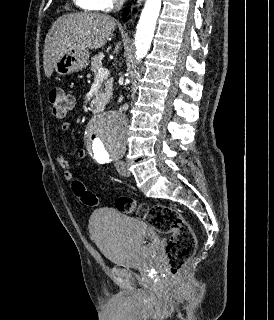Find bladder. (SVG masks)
Returning a JSON list of instances; mask_svg holds the SVG:
<instances>
[{"instance_id": "obj_1", "label": "bladder", "mask_w": 274, "mask_h": 320, "mask_svg": "<svg viewBox=\"0 0 274 320\" xmlns=\"http://www.w3.org/2000/svg\"><path fill=\"white\" fill-rule=\"evenodd\" d=\"M88 227L104 259L116 266L131 267L148 262L160 243L151 225L112 209L94 211Z\"/></svg>"}]
</instances>
